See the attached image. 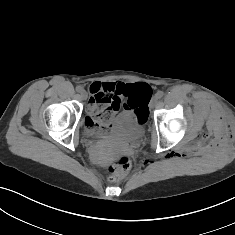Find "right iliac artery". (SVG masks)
Here are the masks:
<instances>
[{"label":"right iliac artery","mask_w":235,"mask_h":235,"mask_svg":"<svg viewBox=\"0 0 235 235\" xmlns=\"http://www.w3.org/2000/svg\"><path fill=\"white\" fill-rule=\"evenodd\" d=\"M76 91H77V92H81V91H82V87H81V86H77V87H76Z\"/></svg>","instance_id":"right-iliac-artery-1"}]
</instances>
